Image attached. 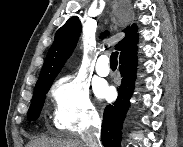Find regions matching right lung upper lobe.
<instances>
[{
  "label": "right lung upper lobe",
  "instance_id": "cb5924a9",
  "mask_svg": "<svg viewBox=\"0 0 183 147\" xmlns=\"http://www.w3.org/2000/svg\"><path fill=\"white\" fill-rule=\"evenodd\" d=\"M81 32V23L78 17H71L56 32L53 45L51 46L44 65L42 67L39 79L35 85V90L51 87L54 79L62 69L67 58L72 54ZM137 27H127L125 29V38L121 40L116 49L120 50V57L136 51L138 40Z\"/></svg>",
  "mask_w": 183,
  "mask_h": 147
}]
</instances>
